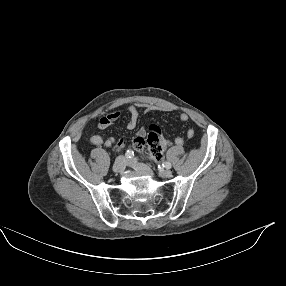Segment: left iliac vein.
<instances>
[{
    "label": "left iliac vein",
    "mask_w": 286,
    "mask_h": 286,
    "mask_svg": "<svg viewBox=\"0 0 286 286\" xmlns=\"http://www.w3.org/2000/svg\"><path fill=\"white\" fill-rule=\"evenodd\" d=\"M129 165L133 168H137L140 166V164L136 160L130 161ZM159 175L161 177H164V178H169V177H171L172 172L170 170L161 169V170H159Z\"/></svg>",
    "instance_id": "4c4485c4"
}]
</instances>
